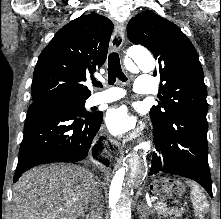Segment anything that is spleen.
Segmentation results:
<instances>
[{"label":"spleen","instance_id":"3e777b00","mask_svg":"<svg viewBox=\"0 0 221 219\" xmlns=\"http://www.w3.org/2000/svg\"><path fill=\"white\" fill-rule=\"evenodd\" d=\"M188 183L192 187L191 195L195 214L199 216L200 219H202L204 214H206L209 210V204L207 202L206 196L202 193V190H200L196 184L192 182Z\"/></svg>","mask_w":221,"mask_h":219}]
</instances>
